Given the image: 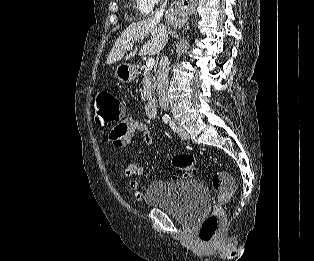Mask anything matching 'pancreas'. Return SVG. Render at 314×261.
<instances>
[{"instance_id":"obj_1","label":"pancreas","mask_w":314,"mask_h":261,"mask_svg":"<svg viewBox=\"0 0 314 261\" xmlns=\"http://www.w3.org/2000/svg\"><path fill=\"white\" fill-rule=\"evenodd\" d=\"M143 98L146 101H153L155 95V78L149 68H145L143 73Z\"/></svg>"}]
</instances>
